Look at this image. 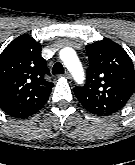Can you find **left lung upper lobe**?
Listing matches in <instances>:
<instances>
[{"mask_svg": "<svg viewBox=\"0 0 135 165\" xmlns=\"http://www.w3.org/2000/svg\"><path fill=\"white\" fill-rule=\"evenodd\" d=\"M89 58L87 82L74 92L91 113L107 116L119 111L135 87V70L127 52L110 39L86 46Z\"/></svg>", "mask_w": 135, "mask_h": 165, "instance_id": "left-lung-upper-lobe-1", "label": "left lung upper lobe"}]
</instances>
